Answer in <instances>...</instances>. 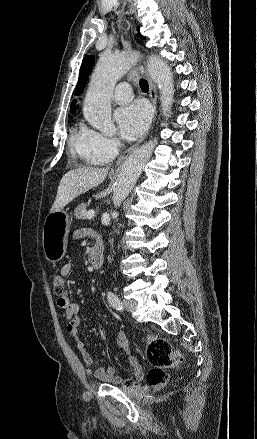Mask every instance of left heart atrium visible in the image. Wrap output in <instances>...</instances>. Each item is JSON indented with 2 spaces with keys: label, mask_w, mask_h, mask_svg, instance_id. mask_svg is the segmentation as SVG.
Segmentation results:
<instances>
[{
  "label": "left heart atrium",
  "mask_w": 257,
  "mask_h": 439,
  "mask_svg": "<svg viewBox=\"0 0 257 439\" xmlns=\"http://www.w3.org/2000/svg\"><path fill=\"white\" fill-rule=\"evenodd\" d=\"M150 117V108L142 101L133 102L115 112L120 133L126 139H133L141 135L147 128Z\"/></svg>",
  "instance_id": "obj_1"
}]
</instances>
